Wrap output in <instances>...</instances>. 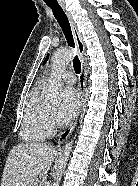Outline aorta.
I'll return each mask as SVG.
<instances>
[{
	"label": "aorta",
	"instance_id": "obj_1",
	"mask_svg": "<svg viewBox=\"0 0 138 186\" xmlns=\"http://www.w3.org/2000/svg\"><path fill=\"white\" fill-rule=\"evenodd\" d=\"M73 59V52L71 50L56 51L51 59V73L50 84L48 88V97L51 103H58L60 101L62 80L61 74L64 72L70 61ZM73 141L67 142L64 146L63 155L58 164V169L53 186H59L63 171L66 167Z\"/></svg>",
	"mask_w": 138,
	"mask_h": 186
}]
</instances>
